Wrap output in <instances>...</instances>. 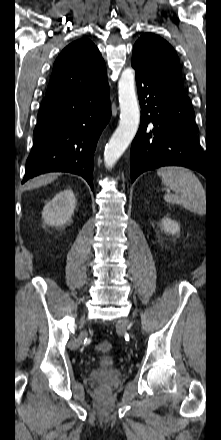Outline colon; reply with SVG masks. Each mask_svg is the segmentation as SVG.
<instances>
[{"label": "colon", "mask_w": 221, "mask_h": 440, "mask_svg": "<svg viewBox=\"0 0 221 440\" xmlns=\"http://www.w3.org/2000/svg\"><path fill=\"white\" fill-rule=\"evenodd\" d=\"M111 348H112L111 343L108 341H102L96 345V349L102 353L109 352L111 350Z\"/></svg>", "instance_id": "1"}]
</instances>
